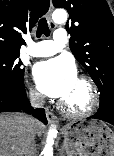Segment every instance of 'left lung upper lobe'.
<instances>
[{"instance_id":"left-lung-upper-lobe-1","label":"left lung upper lobe","mask_w":114,"mask_h":156,"mask_svg":"<svg viewBox=\"0 0 114 156\" xmlns=\"http://www.w3.org/2000/svg\"><path fill=\"white\" fill-rule=\"evenodd\" d=\"M53 5L69 12L70 49L98 86L100 103L114 100V17L106 0H53Z\"/></svg>"}]
</instances>
